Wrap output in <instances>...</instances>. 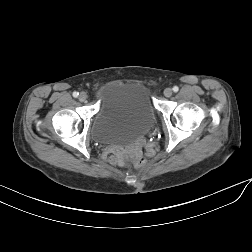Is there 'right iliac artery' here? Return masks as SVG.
Instances as JSON below:
<instances>
[{
    "label": "right iliac artery",
    "instance_id": "82829eb1",
    "mask_svg": "<svg viewBox=\"0 0 252 252\" xmlns=\"http://www.w3.org/2000/svg\"><path fill=\"white\" fill-rule=\"evenodd\" d=\"M79 93L78 92H73V97H78Z\"/></svg>",
    "mask_w": 252,
    "mask_h": 252
}]
</instances>
